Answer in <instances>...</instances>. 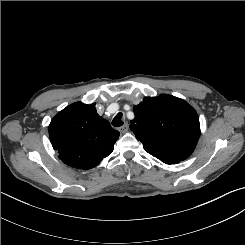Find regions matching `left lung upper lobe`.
<instances>
[{
    "instance_id": "5c2ea615",
    "label": "left lung upper lobe",
    "mask_w": 245,
    "mask_h": 245,
    "mask_svg": "<svg viewBox=\"0 0 245 245\" xmlns=\"http://www.w3.org/2000/svg\"><path fill=\"white\" fill-rule=\"evenodd\" d=\"M133 111L130 128L145 150L181 159L193 153L200 124L196 111L186 101L167 94L146 97Z\"/></svg>"
}]
</instances>
